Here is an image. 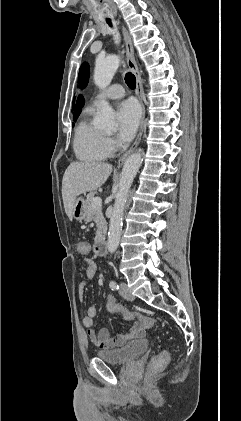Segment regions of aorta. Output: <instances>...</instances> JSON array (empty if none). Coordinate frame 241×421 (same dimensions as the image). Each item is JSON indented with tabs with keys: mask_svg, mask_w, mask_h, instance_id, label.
<instances>
[{
	"mask_svg": "<svg viewBox=\"0 0 241 421\" xmlns=\"http://www.w3.org/2000/svg\"><path fill=\"white\" fill-rule=\"evenodd\" d=\"M119 57L110 55L97 59L94 70V82L100 89L108 87L119 66ZM95 125L101 129H113L117 126L113 108L106 101L101 102V109L95 119ZM142 163V151L130 155L124 163L119 190L115 195L113 211L110 217L107 248L114 253L121 237L122 220L127 201L128 192Z\"/></svg>",
	"mask_w": 241,
	"mask_h": 421,
	"instance_id": "obj_1",
	"label": "aorta"
}]
</instances>
